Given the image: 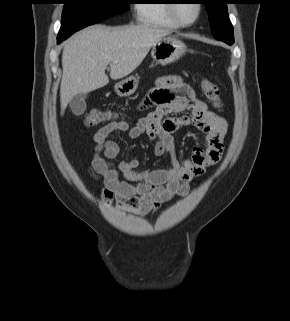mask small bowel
Returning <instances> with one entry per match:
<instances>
[{
	"label": "small bowel",
	"instance_id": "1",
	"mask_svg": "<svg viewBox=\"0 0 290 321\" xmlns=\"http://www.w3.org/2000/svg\"><path fill=\"white\" fill-rule=\"evenodd\" d=\"M149 105L154 109L133 126L115 120L95 132L94 154L88 167L90 176L103 185L101 193L106 206L114 203L119 210L138 215H147L173 197L185 195L191 181L220 160L228 132L227 121L209 110L180 76L159 77L141 103V107ZM187 126L203 131L208 146L194 147L182 161L173 134ZM120 132H127L132 139L146 135L154 140L155 156H167L171 167L139 169V161L134 158L115 163L120 146L109 136ZM120 174L128 182L120 180Z\"/></svg>",
	"mask_w": 290,
	"mask_h": 321
}]
</instances>
